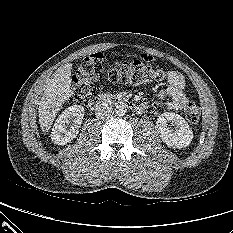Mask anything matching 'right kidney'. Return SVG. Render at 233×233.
I'll return each instance as SVG.
<instances>
[{"mask_svg": "<svg viewBox=\"0 0 233 233\" xmlns=\"http://www.w3.org/2000/svg\"><path fill=\"white\" fill-rule=\"evenodd\" d=\"M83 117L84 107L81 105H73L65 109L52 128L51 139L54 144L65 145L76 138Z\"/></svg>", "mask_w": 233, "mask_h": 233, "instance_id": "right-kidney-1", "label": "right kidney"}]
</instances>
